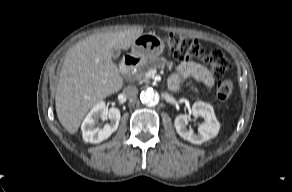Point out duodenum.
I'll return each instance as SVG.
<instances>
[{
    "mask_svg": "<svg viewBox=\"0 0 292 192\" xmlns=\"http://www.w3.org/2000/svg\"><path fill=\"white\" fill-rule=\"evenodd\" d=\"M138 62L139 60L135 56H126L120 64L121 73H128L134 66L138 64Z\"/></svg>",
    "mask_w": 292,
    "mask_h": 192,
    "instance_id": "duodenum-1",
    "label": "duodenum"
}]
</instances>
